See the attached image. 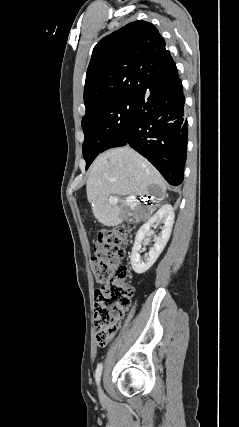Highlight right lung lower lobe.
<instances>
[{
    "label": "right lung lower lobe",
    "mask_w": 239,
    "mask_h": 427,
    "mask_svg": "<svg viewBox=\"0 0 239 427\" xmlns=\"http://www.w3.org/2000/svg\"><path fill=\"white\" fill-rule=\"evenodd\" d=\"M184 103L179 75L143 91L136 98L128 139L120 145L147 158L174 186L183 182L187 154Z\"/></svg>",
    "instance_id": "98d812e1"
}]
</instances>
